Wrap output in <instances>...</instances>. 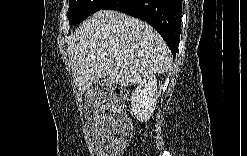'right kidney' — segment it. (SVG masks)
<instances>
[{
  "mask_svg": "<svg viewBox=\"0 0 247 156\" xmlns=\"http://www.w3.org/2000/svg\"><path fill=\"white\" fill-rule=\"evenodd\" d=\"M157 100V79L148 75L134 90L131 98L132 113L140 122H146L154 113Z\"/></svg>",
  "mask_w": 247,
  "mask_h": 156,
  "instance_id": "obj_1",
  "label": "right kidney"
}]
</instances>
